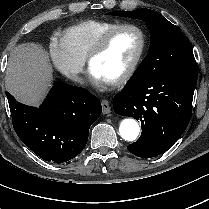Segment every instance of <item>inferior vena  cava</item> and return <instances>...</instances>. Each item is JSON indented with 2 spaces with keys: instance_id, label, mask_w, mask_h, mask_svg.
Listing matches in <instances>:
<instances>
[{
  "instance_id": "602c4592",
  "label": "inferior vena cava",
  "mask_w": 209,
  "mask_h": 209,
  "mask_svg": "<svg viewBox=\"0 0 209 209\" xmlns=\"http://www.w3.org/2000/svg\"><path fill=\"white\" fill-rule=\"evenodd\" d=\"M71 79L75 82H78V83H83V79L81 77H79L78 75H73L71 76Z\"/></svg>"
}]
</instances>
